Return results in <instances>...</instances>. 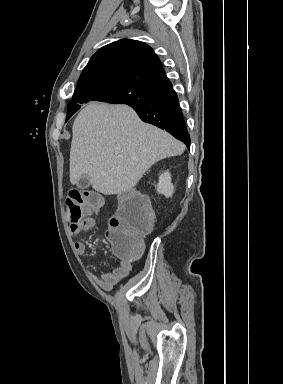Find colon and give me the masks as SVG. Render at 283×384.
<instances>
[{
  "label": "colon",
  "instance_id": "colon-1",
  "mask_svg": "<svg viewBox=\"0 0 283 384\" xmlns=\"http://www.w3.org/2000/svg\"><path fill=\"white\" fill-rule=\"evenodd\" d=\"M65 204L68 222L78 226L88 214L100 211L104 200L98 193L72 189ZM153 222V213L141 193L131 190L121 194L107 234L114 254L124 261L137 259L144 248V236L151 231Z\"/></svg>",
  "mask_w": 283,
  "mask_h": 384
}]
</instances>
